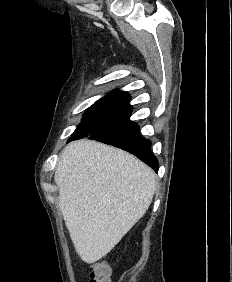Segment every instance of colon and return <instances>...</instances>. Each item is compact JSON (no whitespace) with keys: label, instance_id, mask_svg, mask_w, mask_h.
<instances>
[{"label":"colon","instance_id":"1","mask_svg":"<svg viewBox=\"0 0 232 282\" xmlns=\"http://www.w3.org/2000/svg\"><path fill=\"white\" fill-rule=\"evenodd\" d=\"M88 282H111L109 267L104 263L96 265L89 274Z\"/></svg>","mask_w":232,"mask_h":282}]
</instances>
